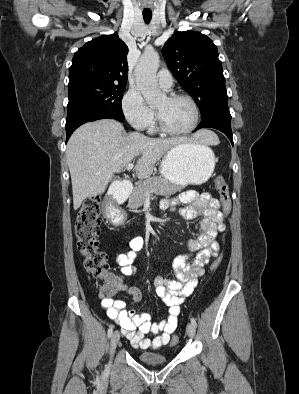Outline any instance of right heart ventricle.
I'll return each instance as SVG.
<instances>
[{
    "instance_id": "1",
    "label": "right heart ventricle",
    "mask_w": 299,
    "mask_h": 394,
    "mask_svg": "<svg viewBox=\"0 0 299 394\" xmlns=\"http://www.w3.org/2000/svg\"><path fill=\"white\" fill-rule=\"evenodd\" d=\"M150 130H151V131H155V130H156V127L152 124L151 127H150Z\"/></svg>"
}]
</instances>
